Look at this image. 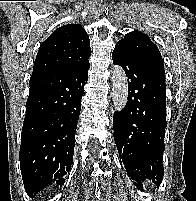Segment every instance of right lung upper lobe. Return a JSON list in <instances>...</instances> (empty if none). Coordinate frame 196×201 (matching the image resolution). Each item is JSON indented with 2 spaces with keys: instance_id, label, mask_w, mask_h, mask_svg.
Listing matches in <instances>:
<instances>
[{
  "instance_id": "cb5924a9",
  "label": "right lung upper lobe",
  "mask_w": 196,
  "mask_h": 201,
  "mask_svg": "<svg viewBox=\"0 0 196 201\" xmlns=\"http://www.w3.org/2000/svg\"><path fill=\"white\" fill-rule=\"evenodd\" d=\"M91 55L87 32L78 24L56 29L40 46L32 75L89 64Z\"/></svg>"
}]
</instances>
